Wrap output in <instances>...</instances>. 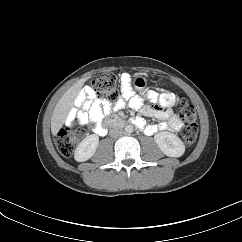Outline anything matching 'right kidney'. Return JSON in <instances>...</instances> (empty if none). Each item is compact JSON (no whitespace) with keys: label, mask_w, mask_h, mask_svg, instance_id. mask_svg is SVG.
Listing matches in <instances>:
<instances>
[{"label":"right kidney","mask_w":242,"mask_h":242,"mask_svg":"<svg viewBox=\"0 0 242 242\" xmlns=\"http://www.w3.org/2000/svg\"><path fill=\"white\" fill-rule=\"evenodd\" d=\"M99 137L95 134L89 135L84 138L76 148L74 158L78 162H83L90 159L98 146Z\"/></svg>","instance_id":"right-kidney-1"}]
</instances>
